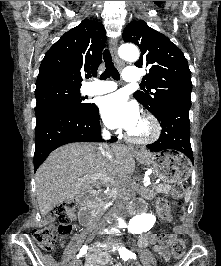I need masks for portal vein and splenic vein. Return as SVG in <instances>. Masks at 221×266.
Here are the masks:
<instances>
[{
  "mask_svg": "<svg viewBox=\"0 0 221 266\" xmlns=\"http://www.w3.org/2000/svg\"><path fill=\"white\" fill-rule=\"evenodd\" d=\"M87 179H103L104 181H109V182H113V179L110 177H104V175L102 174H97V175H91V176H85L81 179H79V181H85Z\"/></svg>",
  "mask_w": 221,
  "mask_h": 266,
  "instance_id": "1",
  "label": "portal vein and splenic vein"
}]
</instances>
